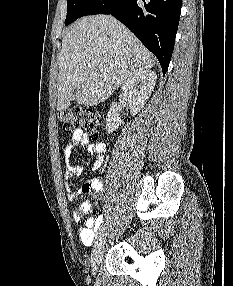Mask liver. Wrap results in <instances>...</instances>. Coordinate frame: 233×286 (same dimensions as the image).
Returning <instances> with one entry per match:
<instances>
[{
  "label": "liver",
  "mask_w": 233,
  "mask_h": 286,
  "mask_svg": "<svg viewBox=\"0 0 233 286\" xmlns=\"http://www.w3.org/2000/svg\"><path fill=\"white\" fill-rule=\"evenodd\" d=\"M58 60V111L72 102L97 105L128 77L155 65L153 55L111 15H92L74 22L62 39ZM75 88L77 96L72 94Z\"/></svg>",
  "instance_id": "1"
}]
</instances>
